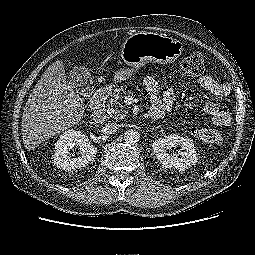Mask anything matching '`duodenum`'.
Here are the masks:
<instances>
[{
  "instance_id": "410a0bca",
  "label": "duodenum",
  "mask_w": 255,
  "mask_h": 255,
  "mask_svg": "<svg viewBox=\"0 0 255 255\" xmlns=\"http://www.w3.org/2000/svg\"><path fill=\"white\" fill-rule=\"evenodd\" d=\"M109 92L110 88L102 86L97 89L90 100L91 117L92 120L98 124L104 123L107 119L104 102ZM151 116L153 117V114Z\"/></svg>"
}]
</instances>
